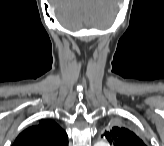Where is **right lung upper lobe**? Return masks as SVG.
Segmentation results:
<instances>
[{
  "mask_svg": "<svg viewBox=\"0 0 164 146\" xmlns=\"http://www.w3.org/2000/svg\"><path fill=\"white\" fill-rule=\"evenodd\" d=\"M13 146H68V136L55 122L42 120L20 133Z\"/></svg>",
  "mask_w": 164,
  "mask_h": 146,
  "instance_id": "right-lung-upper-lobe-1",
  "label": "right lung upper lobe"
}]
</instances>
